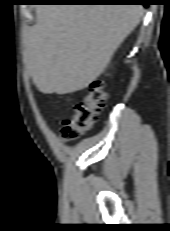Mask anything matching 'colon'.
<instances>
[{"label":"colon","mask_w":170,"mask_h":231,"mask_svg":"<svg viewBox=\"0 0 170 231\" xmlns=\"http://www.w3.org/2000/svg\"><path fill=\"white\" fill-rule=\"evenodd\" d=\"M107 92L102 81L92 82L86 95L75 107L73 114L63 121L61 134L65 139H75L87 133L99 119L106 105Z\"/></svg>","instance_id":"5ec220e1"}]
</instances>
